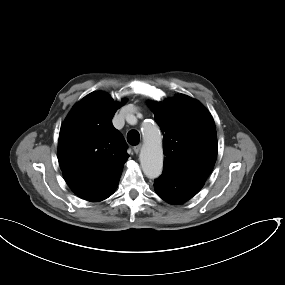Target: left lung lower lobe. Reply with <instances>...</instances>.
<instances>
[{
	"label": "left lung lower lobe",
	"instance_id": "obj_1",
	"mask_svg": "<svg viewBox=\"0 0 285 285\" xmlns=\"http://www.w3.org/2000/svg\"><path fill=\"white\" fill-rule=\"evenodd\" d=\"M204 183L163 170L154 182L156 194L170 204H181L196 195Z\"/></svg>",
	"mask_w": 285,
	"mask_h": 285
}]
</instances>
